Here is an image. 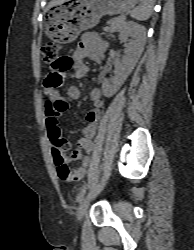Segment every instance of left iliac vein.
Wrapping results in <instances>:
<instances>
[{"label": "left iliac vein", "mask_w": 194, "mask_h": 250, "mask_svg": "<svg viewBox=\"0 0 194 250\" xmlns=\"http://www.w3.org/2000/svg\"><path fill=\"white\" fill-rule=\"evenodd\" d=\"M92 198V192H89L83 199L79 209H78V213H77V218L78 221H81L83 219V217L85 216L88 206H89V202Z\"/></svg>", "instance_id": "left-iliac-vein-1"}]
</instances>
